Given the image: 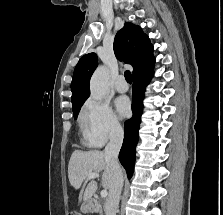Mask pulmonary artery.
Instances as JSON below:
<instances>
[{
	"mask_svg": "<svg viewBox=\"0 0 223 215\" xmlns=\"http://www.w3.org/2000/svg\"><path fill=\"white\" fill-rule=\"evenodd\" d=\"M114 86L118 92H126L129 89V86H128L126 80L122 76H120L116 79Z\"/></svg>",
	"mask_w": 223,
	"mask_h": 215,
	"instance_id": "1",
	"label": "pulmonary artery"
}]
</instances>
